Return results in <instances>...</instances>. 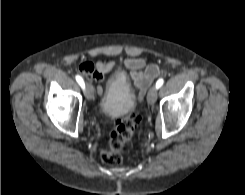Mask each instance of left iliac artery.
Instances as JSON below:
<instances>
[{
	"label": "left iliac artery",
	"instance_id": "left-iliac-artery-1",
	"mask_svg": "<svg viewBox=\"0 0 245 195\" xmlns=\"http://www.w3.org/2000/svg\"><path fill=\"white\" fill-rule=\"evenodd\" d=\"M164 83V80L162 78H160L157 82H156V88L159 89Z\"/></svg>",
	"mask_w": 245,
	"mask_h": 195
}]
</instances>
